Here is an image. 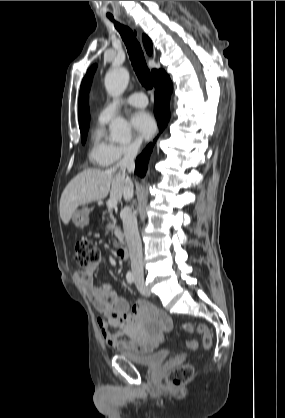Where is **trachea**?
I'll return each mask as SVG.
<instances>
[{
  "instance_id": "trachea-1",
  "label": "trachea",
  "mask_w": 285,
  "mask_h": 418,
  "mask_svg": "<svg viewBox=\"0 0 285 418\" xmlns=\"http://www.w3.org/2000/svg\"><path fill=\"white\" fill-rule=\"evenodd\" d=\"M109 18L110 20L114 21L113 17ZM115 27L120 32L121 37L126 45L132 66L139 81L146 89H151L153 87V79L147 67L141 46L135 35L128 27H125L118 22H115Z\"/></svg>"
}]
</instances>
